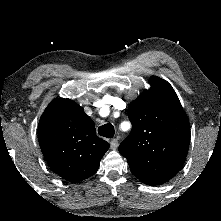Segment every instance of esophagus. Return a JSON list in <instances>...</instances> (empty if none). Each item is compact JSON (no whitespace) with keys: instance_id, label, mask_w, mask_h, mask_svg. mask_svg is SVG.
Masks as SVG:
<instances>
[{"instance_id":"1","label":"esophagus","mask_w":221,"mask_h":221,"mask_svg":"<svg viewBox=\"0 0 221 221\" xmlns=\"http://www.w3.org/2000/svg\"><path fill=\"white\" fill-rule=\"evenodd\" d=\"M110 146H111V149H113V150H115V149H117V147H118V139H112L111 141H110Z\"/></svg>"}]
</instances>
